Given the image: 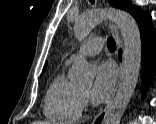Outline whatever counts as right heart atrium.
<instances>
[{
  "label": "right heart atrium",
  "mask_w": 156,
  "mask_h": 124,
  "mask_svg": "<svg viewBox=\"0 0 156 124\" xmlns=\"http://www.w3.org/2000/svg\"><path fill=\"white\" fill-rule=\"evenodd\" d=\"M82 110L86 109V107L89 105V97L87 94L82 93Z\"/></svg>",
  "instance_id": "right-heart-atrium-1"
}]
</instances>
